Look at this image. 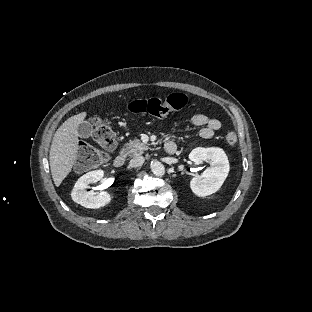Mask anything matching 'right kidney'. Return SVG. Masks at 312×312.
Segmentation results:
<instances>
[{
  "instance_id": "ca27d5eb",
  "label": "right kidney",
  "mask_w": 312,
  "mask_h": 312,
  "mask_svg": "<svg viewBox=\"0 0 312 312\" xmlns=\"http://www.w3.org/2000/svg\"><path fill=\"white\" fill-rule=\"evenodd\" d=\"M103 176L101 170H96L83 175L75 183L71 196L72 200L81 206L89 209H98L108 205L112 197L108 192L87 191L91 184L97 183Z\"/></svg>"
}]
</instances>
